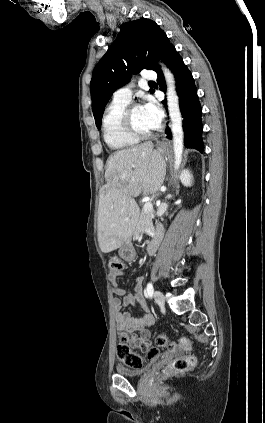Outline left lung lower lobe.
I'll return each mask as SVG.
<instances>
[{
  "label": "left lung lower lobe",
  "mask_w": 265,
  "mask_h": 423,
  "mask_svg": "<svg viewBox=\"0 0 265 423\" xmlns=\"http://www.w3.org/2000/svg\"><path fill=\"white\" fill-rule=\"evenodd\" d=\"M174 73L176 78V90L179 96V106L182 113L183 128L185 132V145L203 152L201 106L197 96V90L191 72L184 64L176 49L169 43L163 60ZM157 82L160 89L165 91L166 84L164 75L159 68ZM166 107V101H162ZM167 137L171 139L169 127L165 130Z\"/></svg>",
  "instance_id": "1"
}]
</instances>
